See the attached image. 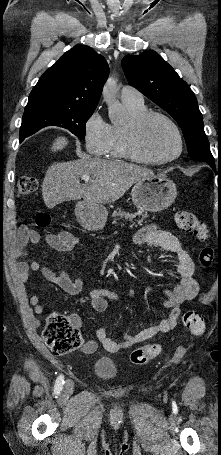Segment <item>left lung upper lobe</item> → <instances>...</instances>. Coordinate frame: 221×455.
Here are the masks:
<instances>
[{
    "label": "left lung upper lobe",
    "mask_w": 221,
    "mask_h": 455,
    "mask_svg": "<svg viewBox=\"0 0 221 455\" xmlns=\"http://www.w3.org/2000/svg\"><path fill=\"white\" fill-rule=\"evenodd\" d=\"M122 68L131 86L177 121L184 134L189 156L203 162L214 160L196 97L175 70L153 50L125 56Z\"/></svg>",
    "instance_id": "obj_1"
}]
</instances>
